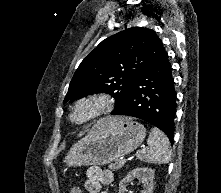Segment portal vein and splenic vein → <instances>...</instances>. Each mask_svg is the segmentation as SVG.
I'll list each match as a JSON object with an SVG mask.
<instances>
[{"instance_id": "18ae733b", "label": "portal vein and splenic vein", "mask_w": 221, "mask_h": 193, "mask_svg": "<svg viewBox=\"0 0 221 193\" xmlns=\"http://www.w3.org/2000/svg\"><path fill=\"white\" fill-rule=\"evenodd\" d=\"M120 160L123 161V162H125V158H124V157H121Z\"/></svg>"}]
</instances>
